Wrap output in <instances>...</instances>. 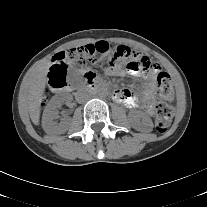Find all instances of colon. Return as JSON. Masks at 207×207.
<instances>
[{
	"mask_svg": "<svg viewBox=\"0 0 207 207\" xmlns=\"http://www.w3.org/2000/svg\"><path fill=\"white\" fill-rule=\"evenodd\" d=\"M109 53L107 64L114 67L116 61L125 60L126 67L131 71L140 70L149 77H156L158 103L156 105L155 126L163 133L170 127L173 118V108L168 104L174 99V88L169 74L159 72V64L127 46L120 45L112 49L108 44L100 42L71 48L57 53L54 57L55 63L49 76L53 87L61 88L67 84L71 72L70 65L85 67L99 62L102 55Z\"/></svg>",
	"mask_w": 207,
	"mask_h": 207,
	"instance_id": "obj_1",
	"label": "colon"
}]
</instances>
